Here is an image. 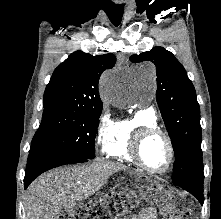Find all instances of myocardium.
<instances>
[{"instance_id":"f54148a6","label":"myocardium","mask_w":221,"mask_h":219,"mask_svg":"<svg viewBox=\"0 0 221 219\" xmlns=\"http://www.w3.org/2000/svg\"><path fill=\"white\" fill-rule=\"evenodd\" d=\"M157 135L161 136L165 140L167 147H168V151H169L168 164L166 168L163 170H156V169L150 168L144 162L142 158V154H141L142 146L145 143V141ZM129 153L136 164H138L141 168H143L147 172L156 174V175H164L168 173L173 167L174 160H175V150H174V145L172 143L171 138L169 137L167 133H165L163 130H161L157 126L137 127L132 133V136L130 139Z\"/></svg>"}]
</instances>
